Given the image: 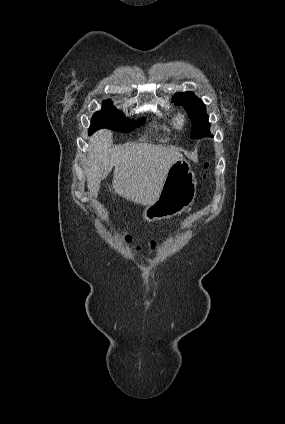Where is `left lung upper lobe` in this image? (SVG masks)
<instances>
[{
  "label": "left lung upper lobe",
  "instance_id": "obj_1",
  "mask_svg": "<svg viewBox=\"0 0 285 424\" xmlns=\"http://www.w3.org/2000/svg\"><path fill=\"white\" fill-rule=\"evenodd\" d=\"M173 102L184 106L192 122L191 138L199 139L210 134V123L206 106L193 92H179L173 97Z\"/></svg>",
  "mask_w": 285,
  "mask_h": 424
}]
</instances>
